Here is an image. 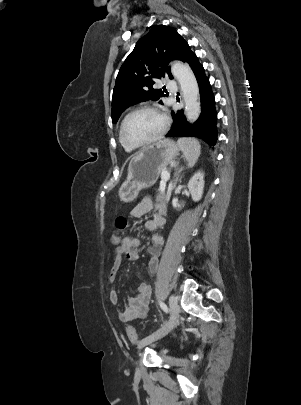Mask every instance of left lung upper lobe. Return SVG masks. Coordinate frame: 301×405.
Returning <instances> with one entry per match:
<instances>
[{
  "instance_id": "5c2ea615",
  "label": "left lung upper lobe",
  "mask_w": 301,
  "mask_h": 405,
  "mask_svg": "<svg viewBox=\"0 0 301 405\" xmlns=\"http://www.w3.org/2000/svg\"><path fill=\"white\" fill-rule=\"evenodd\" d=\"M192 53L177 30L169 26H155L140 38L116 78L112 123H116L121 113L133 104L147 100L163 104L161 98L165 95L161 89L153 88L155 80L165 75L172 79L169 62L175 59L188 62Z\"/></svg>"
}]
</instances>
